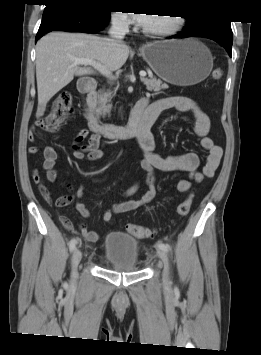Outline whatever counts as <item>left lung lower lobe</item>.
<instances>
[{
	"instance_id": "1",
	"label": "left lung lower lobe",
	"mask_w": 261,
	"mask_h": 355,
	"mask_svg": "<svg viewBox=\"0 0 261 355\" xmlns=\"http://www.w3.org/2000/svg\"><path fill=\"white\" fill-rule=\"evenodd\" d=\"M186 37H204L211 39L221 44L227 50L228 54L232 56L233 33L230 22L212 20L197 30H187L184 28L183 32L171 36L168 39Z\"/></svg>"
}]
</instances>
